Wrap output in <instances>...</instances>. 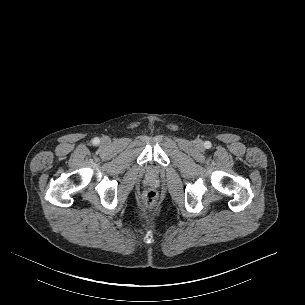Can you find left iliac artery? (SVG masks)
Instances as JSON below:
<instances>
[{"instance_id": "obj_1", "label": "left iliac artery", "mask_w": 305, "mask_h": 305, "mask_svg": "<svg viewBox=\"0 0 305 305\" xmlns=\"http://www.w3.org/2000/svg\"><path fill=\"white\" fill-rule=\"evenodd\" d=\"M205 148L209 149L211 148V142L209 141H206L205 144H204Z\"/></svg>"}]
</instances>
